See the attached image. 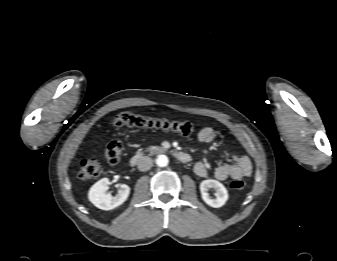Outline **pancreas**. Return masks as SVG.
Returning a JSON list of instances; mask_svg holds the SVG:
<instances>
[{
    "label": "pancreas",
    "mask_w": 337,
    "mask_h": 261,
    "mask_svg": "<svg viewBox=\"0 0 337 261\" xmlns=\"http://www.w3.org/2000/svg\"><path fill=\"white\" fill-rule=\"evenodd\" d=\"M146 150L149 151L151 154H154L156 152H164L165 151V149L163 147H159V146H150Z\"/></svg>",
    "instance_id": "cf45deb5"
}]
</instances>
